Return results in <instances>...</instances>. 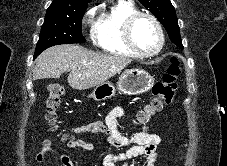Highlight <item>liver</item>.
I'll use <instances>...</instances> for the list:
<instances>
[{
  "instance_id": "1",
  "label": "liver",
  "mask_w": 227,
  "mask_h": 166,
  "mask_svg": "<svg viewBox=\"0 0 227 166\" xmlns=\"http://www.w3.org/2000/svg\"><path fill=\"white\" fill-rule=\"evenodd\" d=\"M131 61L128 57L96 53L79 45H57L37 57L33 80L59 78L62 73L70 72L67 79L70 87L86 90L105 83Z\"/></svg>"
}]
</instances>
